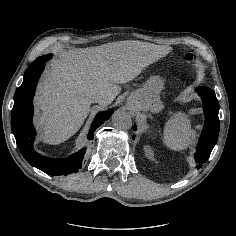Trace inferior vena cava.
Wrapping results in <instances>:
<instances>
[{
    "instance_id": "1",
    "label": "inferior vena cava",
    "mask_w": 236,
    "mask_h": 236,
    "mask_svg": "<svg viewBox=\"0 0 236 236\" xmlns=\"http://www.w3.org/2000/svg\"><path fill=\"white\" fill-rule=\"evenodd\" d=\"M94 102L96 103H99L101 105H105L107 103H109L111 101V98L103 95V94H97L94 99H93Z\"/></svg>"
}]
</instances>
